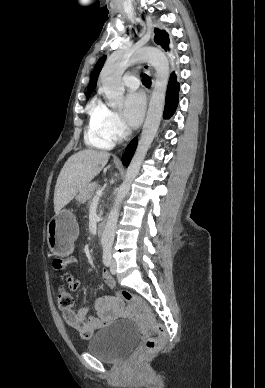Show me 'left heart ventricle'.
I'll list each match as a JSON object with an SVG mask.
<instances>
[{
	"label": "left heart ventricle",
	"mask_w": 265,
	"mask_h": 388,
	"mask_svg": "<svg viewBox=\"0 0 265 388\" xmlns=\"http://www.w3.org/2000/svg\"><path fill=\"white\" fill-rule=\"evenodd\" d=\"M123 87H124L125 91H128L130 89L129 86H124L123 85Z\"/></svg>",
	"instance_id": "left-heart-ventricle-1"
}]
</instances>
